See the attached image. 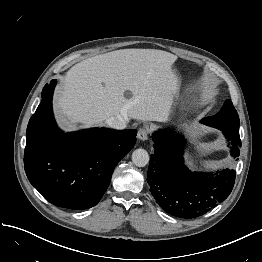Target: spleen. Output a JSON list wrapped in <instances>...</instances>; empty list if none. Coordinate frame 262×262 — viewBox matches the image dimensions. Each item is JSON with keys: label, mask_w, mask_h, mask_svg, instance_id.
I'll return each instance as SVG.
<instances>
[{"label": "spleen", "mask_w": 262, "mask_h": 262, "mask_svg": "<svg viewBox=\"0 0 262 262\" xmlns=\"http://www.w3.org/2000/svg\"><path fill=\"white\" fill-rule=\"evenodd\" d=\"M185 159H186V163L190 166H194L196 163H197V160L196 158L198 157L195 153H190V152H187L185 154Z\"/></svg>", "instance_id": "spleen-1"}]
</instances>
